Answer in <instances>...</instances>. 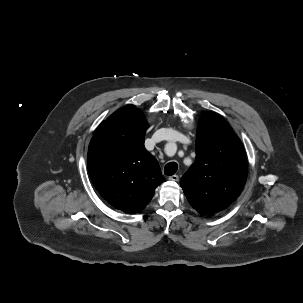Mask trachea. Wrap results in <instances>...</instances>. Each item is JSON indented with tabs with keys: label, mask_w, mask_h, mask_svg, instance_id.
I'll return each instance as SVG.
<instances>
[{
	"label": "trachea",
	"mask_w": 303,
	"mask_h": 303,
	"mask_svg": "<svg viewBox=\"0 0 303 303\" xmlns=\"http://www.w3.org/2000/svg\"><path fill=\"white\" fill-rule=\"evenodd\" d=\"M178 169V165L176 162H170L168 164H166L165 168H164V173L168 176L173 175Z\"/></svg>",
	"instance_id": "1"
}]
</instances>
